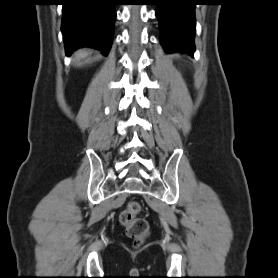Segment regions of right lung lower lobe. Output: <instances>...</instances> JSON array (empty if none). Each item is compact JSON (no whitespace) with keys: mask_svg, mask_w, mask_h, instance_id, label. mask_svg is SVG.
I'll return each instance as SVG.
<instances>
[{"mask_svg":"<svg viewBox=\"0 0 278 278\" xmlns=\"http://www.w3.org/2000/svg\"><path fill=\"white\" fill-rule=\"evenodd\" d=\"M62 33L67 55L80 47L107 54L113 39L114 0H62Z\"/></svg>","mask_w":278,"mask_h":278,"instance_id":"right-lung-lower-lobe-1","label":"right lung lower lobe"}]
</instances>
